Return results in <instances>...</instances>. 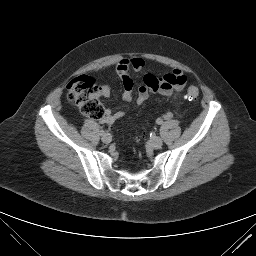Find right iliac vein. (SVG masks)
Returning <instances> with one entry per match:
<instances>
[{
    "mask_svg": "<svg viewBox=\"0 0 256 256\" xmlns=\"http://www.w3.org/2000/svg\"><path fill=\"white\" fill-rule=\"evenodd\" d=\"M101 139H102V142H103V143L108 144V143L111 142L112 137H111L110 134L106 133V134H104V135L102 136Z\"/></svg>",
    "mask_w": 256,
    "mask_h": 256,
    "instance_id": "right-iliac-vein-1",
    "label": "right iliac vein"
}]
</instances>
